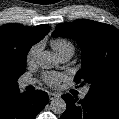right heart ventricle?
<instances>
[{
  "label": "right heart ventricle",
  "instance_id": "right-heart-ventricle-1",
  "mask_svg": "<svg viewBox=\"0 0 119 119\" xmlns=\"http://www.w3.org/2000/svg\"><path fill=\"white\" fill-rule=\"evenodd\" d=\"M51 46L59 56L66 52L74 53L73 44L65 38L52 39Z\"/></svg>",
  "mask_w": 119,
  "mask_h": 119
}]
</instances>
